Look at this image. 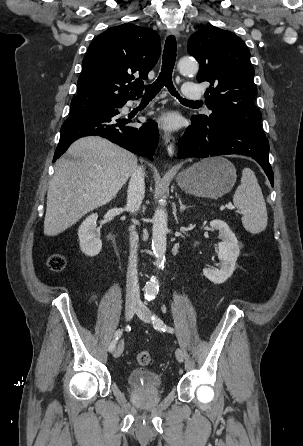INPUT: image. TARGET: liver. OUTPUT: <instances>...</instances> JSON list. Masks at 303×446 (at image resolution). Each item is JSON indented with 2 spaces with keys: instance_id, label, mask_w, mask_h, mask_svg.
<instances>
[{
  "instance_id": "1",
  "label": "liver",
  "mask_w": 303,
  "mask_h": 446,
  "mask_svg": "<svg viewBox=\"0 0 303 446\" xmlns=\"http://www.w3.org/2000/svg\"><path fill=\"white\" fill-rule=\"evenodd\" d=\"M61 158L49 184L44 234L56 236L109 203L137 168V157L100 137H84Z\"/></svg>"
}]
</instances>
